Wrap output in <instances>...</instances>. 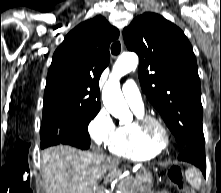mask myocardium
Instances as JSON below:
<instances>
[{"label":"myocardium","mask_w":221,"mask_h":193,"mask_svg":"<svg viewBox=\"0 0 221 193\" xmlns=\"http://www.w3.org/2000/svg\"><path fill=\"white\" fill-rule=\"evenodd\" d=\"M136 126L140 133L153 145L159 149H166L171 143V135L166 123L157 116L153 115H141ZM156 128L161 132V136L156 133Z\"/></svg>","instance_id":"obj_1"}]
</instances>
